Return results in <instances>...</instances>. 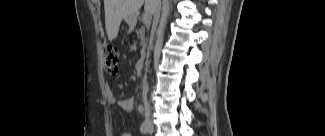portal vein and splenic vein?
<instances>
[{
    "instance_id": "1",
    "label": "portal vein and splenic vein",
    "mask_w": 325,
    "mask_h": 136,
    "mask_svg": "<svg viewBox=\"0 0 325 136\" xmlns=\"http://www.w3.org/2000/svg\"><path fill=\"white\" fill-rule=\"evenodd\" d=\"M142 21H143L144 24H149L151 22L150 13L146 12L142 17Z\"/></svg>"
}]
</instances>
